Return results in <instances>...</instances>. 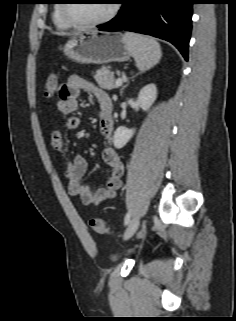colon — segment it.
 I'll return each instance as SVG.
<instances>
[{
  "label": "colon",
  "mask_w": 236,
  "mask_h": 321,
  "mask_svg": "<svg viewBox=\"0 0 236 321\" xmlns=\"http://www.w3.org/2000/svg\"><path fill=\"white\" fill-rule=\"evenodd\" d=\"M57 85H58L57 76L55 74L49 75L45 81L44 88H43L44 96L46 98L52 97L56 92ZM90 227L98 235H102V236L110 235V230L106 222L102 219H98V218L91 219Z\"/></svg>",
  "instance_id": "colon-1"
}]
</instances>
